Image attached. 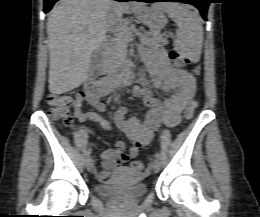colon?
<instances>
[{
    "label": "colon",
    "mask_w": 260,
    "mask_h": 217,
    "mask_svg": "<svg viewBox=\"0 0 260 217\" xmlns=\"http://www.w3.org/2000/svg\"><path fill=\"white\" fill-rule=\"evenodd\" d=\"M169 57L172 63L177 66L181 67L188 63V58L181 55L176 51H172L169 54ZM194 73L196 75L199 74V67L194 69ZM82 95H59V94H51L48 97V103L51 106L49 110V117L52 120L60 122L62 125L66 127L73 126V118L70 114V108L75 106L77 103L82 101ZM198 104L196 100H192L188 103L186 110L184 112V119L190 120L193 118L195 111L197 110ZM133 169L137 172H142L145 168V164L142 161H136L133 163Z\"/></svg>",
    "instance_id": "1"
}]
</instances>
